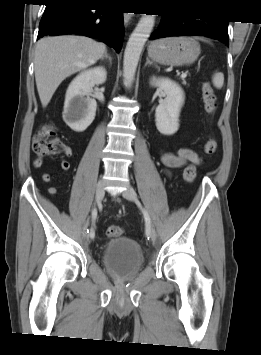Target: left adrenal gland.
Instances as JSON below:
<instances>
[{
  "mask_svg": "<svg viewBox=\"0 0 261 355\" xmlns=\"http://www.w3.org/2000/svg\"><path fill=\"white\" fill-rule=\"evenodd\" d=\"M147 65H155V64H153V62L150 61L149 58H147V59H146V63H145V67H146Z\"/></svg>",
  "mask_w": 261,
  "mask_h": 355,
  "instance_id": "obj_1",
  "label": "left adrenal gland"
}]
</instances>
